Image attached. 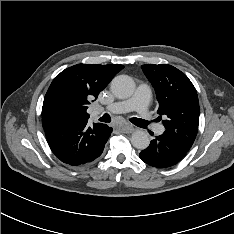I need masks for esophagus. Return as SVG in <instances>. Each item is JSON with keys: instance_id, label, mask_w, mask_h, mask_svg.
I'll list each match as a JSON object with an SVG mask.
<instances>
[{"instance_id": "esophagus-1", "label": "esophagus", "mask_w": 234, "mask_h": 234, "mask_svg": "<svg viewBox=\"0 0 234 234\" xmlns=\"http://www.w3.org/2000/svg\"><path fill=\"white\" fill-rule=\"evenodd\" d=\"M122 133H132L134 128L131 125H125L124 127L119 129Z\"/></svg>"}]
</instances>
